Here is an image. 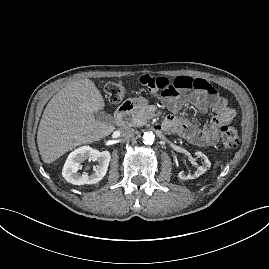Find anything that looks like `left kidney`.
<instances>
[{"label": "left kidney", "mask_w": 269, "mask_h": 269, "mask_svg": "<svg viewBox=\"0 0 269 269\" xmlns=\"http://www.w3.org/2000/svg\"><path fill=\"white\" fill-rule=\"evenodd\" d=\"M195 156L203 161V165L198 166L197 170L193 174H186L184 171L179 172L178 177L181 180H190L198 178L200 175L205 173L210 168L211 163L205 154H203L200 151H197L195 152Z\"/></svg>", "instance_id": "5707ae66"}]
</instances>
